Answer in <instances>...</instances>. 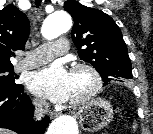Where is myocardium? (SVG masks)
<instances>
[{"label":"myocardium","instance_id":"obj_1","mask_svg":"<svg viewBox=\"0 0 153 134\" xmlns=\"http://www.w3.org/2000/svg\"><path fill=\"white\" fill-rule=\"evenodd\" d=\"M76 71L87 72L89 76L91 77L92 84H91L90 89L85 94H83L82 96L78 98L71 99L70 100L71 105H81L87 102L100 91V89L102 88V84H103V80H102V76L100 72L97 70V68L94 65L88 62L75 63L71 67V72H76Z\"/></svg>","mask_w":153,"mask_h":134}]
</instances>
